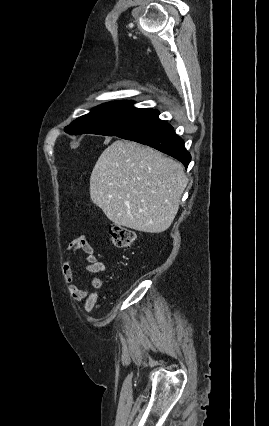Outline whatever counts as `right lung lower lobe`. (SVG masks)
Here are the masks:
<instances>
[{
  "instance_id": "obj_1",
  "label": "right lung lower lobe",
  "mask_w": 269,
  "mask_h": 426,
  "mask_svg": "<svg viewBox=\"0 0 269 426\" xmlns=\"http://www.w3.org/2000/svg\"><path fill=\"white\" fill-rule=\"evenodd\" d=\"M158 115V111L153 110L141 124L118 137L153 147L176 158L187 168L191 155L185 149L184 141L175 134L173 127L160 120ZM65 131L73 134L67 128Z\"/></svg>"
}]
</instances>
